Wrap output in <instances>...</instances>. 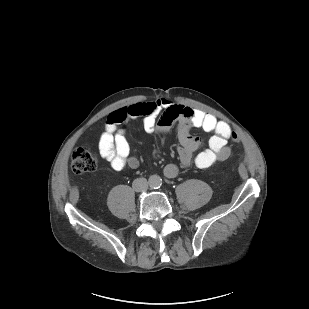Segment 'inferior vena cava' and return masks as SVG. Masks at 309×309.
Masks as SVG:
<instances>
[{
    "mask_svg": "<svg viewBox=\"0 0 309 309\" xmlns=\"http://www.w3.org/2000/svg\"><path fill=\"white\" fill-rule=\"evenodd\" d=\"M132 187L135 191H142L148 188V182L146 178H137L133 181Z\"/></svg>",
    "mask_w": 309,
    "mask_h": 309,
    "instance_id": "obj_1",
    "label": "inferior vena cava"
}]
</instances>
